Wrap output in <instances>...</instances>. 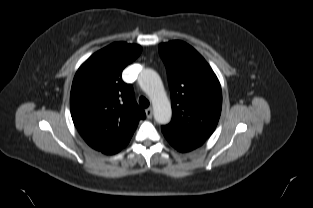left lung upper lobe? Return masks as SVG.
I'll use <instances>...</instances> for the list:
<instances>
[{
  "mask_svg": "<svg viewBox=\"0 0 313 208\" xmlns=\"http://www.w3.org/2000/svg\"><path fill=\"white\" fill-rule=\"evenodd\" d=\"M159 53L167 69L173 115L162 132L201 146L215 130L221 114L220 83L205 59L185 42L161 43Z\"/></svg>",
  "mask_w": 313,
  "mask_h": 208,
  "instance_id": "left-lung-upper-lobe-1",
  "label": "left lung upper lobe"
}]
</instances>
